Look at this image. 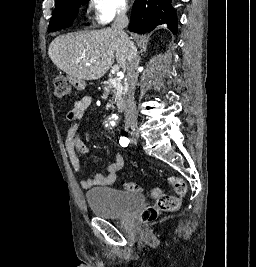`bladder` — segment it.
Listing matches in <instances>:
<instances>
[{
    "instance_id": "bladder-1",
    "label": "bladder",
    "mask_w": 256,
    "mask_h": 267,
    "mask_svg": "<svg viewBox=\"0 0 256 267\" xmlns=\"http://www.w3.org/2000/svg\"><path fill=\"white\" fill-rule=\"evenodd\" d=\"M85 200L95 216L110 219L123 217L137 205H143L145 197L125 195L119 189L99 188L86 193Z\"/></svg>"
}]
</instances>
